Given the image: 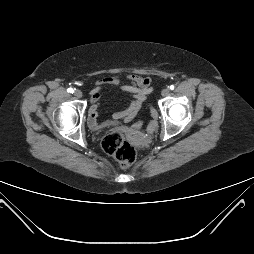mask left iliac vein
Returning <instances> with one entry per match:
<instances>
[{
    "instance_id": "left-iliac-vein-1",
    "label": "left iliac vein",
    "mask_w": 254,
    "mask_h": 254,
    "mask_svg": "<svg viewBox=\"0 0 254 254\" xmlns=\"http://www.w3.org/2000/svg\"><path fill=\"white\" fill-rule=\"evenodd\" d=\"M170 90L168 88H165L162 90L161 94L162 96H167L169 94Z\"/></svg>"
}]
</instances>
